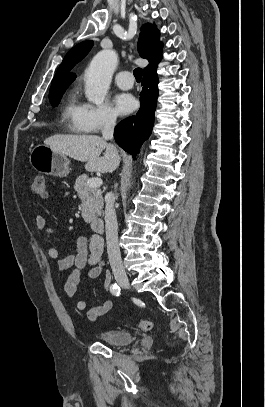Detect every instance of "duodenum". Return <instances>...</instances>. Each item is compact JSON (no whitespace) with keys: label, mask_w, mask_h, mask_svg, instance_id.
I'll use <instances>...</instances> for the list:
<instances>
[{"label":"duodenum","mask_w":265,"mask_h":407,"mask_svg":"<svg viewBox=\"0 0 265 407\" xmlns=\"http://www.w3.org/2000/svg\"><path fill=\"white\" fill-rule=\"evenodd\" d=\"M90 228L98 233L102 234L104 232V221L101 218H94L90 222Z\"/></svg>","instance_id":"1"}]
</instances>
